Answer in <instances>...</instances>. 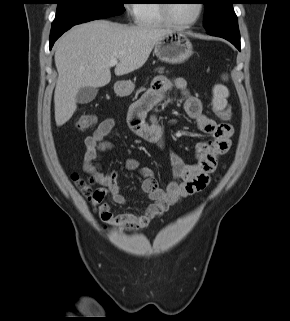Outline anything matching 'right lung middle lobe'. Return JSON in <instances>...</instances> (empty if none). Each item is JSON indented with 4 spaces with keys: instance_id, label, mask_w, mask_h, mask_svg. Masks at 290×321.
Returning a JSON list of instances; mask_svg holds the SVG:
<instances>
[{
    "instance_id": "obj_1",
    "label": "right lung middle lobe",
    "mask_w": 290,
    "mask_h": 321,
    "mask_svg": "<svg viewBox=\"0 0 290 321\" xmlns=\"http://www.w3.org/2000/svg\"><path fill=\"white\" fill-rule=\"evenodd\" d=\"M52 28H62L122 14L124 0H57Z\"/></svg>"
}]
</instances>
